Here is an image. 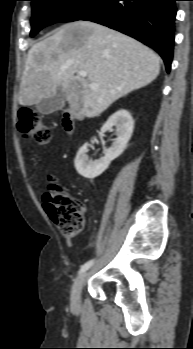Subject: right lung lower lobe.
I'll use <instances>...</instances> for the list:
<instances>
[{
	"label": "right lung lower lobe",
	"mask_w": 193,
	"mask_h": 349,
	"mask_svg": "<svg viewBox=\"0 0 193 349\" xmlns=\"http://www.w3.org/2000/svg\"><path fill=\"white\" fill-rule=\"evenodd\" d=\"M177 0H101L80 20L127 34L156 50L167 72L173 56Z\"/></svg>",
	"instance_id": "98d812e1"
}]
</instances>
